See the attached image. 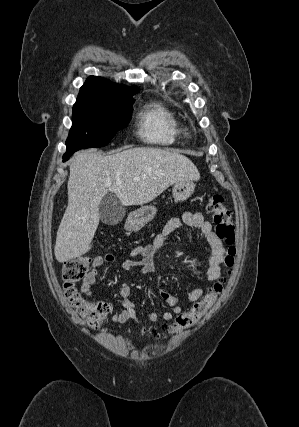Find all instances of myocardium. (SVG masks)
<instances>
[{"label":"myocardium","instance_id":"1","mask_svg":"<svg viewBox=\"0 0 299 427\" xmlns=\"http://www.w3.org/2000/svg\"><path fill=\"white\" fill-rule=\"evenodd\" d=\"M181 134L185 138H189L191 136V130L189 127L185 126L182 129H180Z\"/></svg>","mask_w":299,"mask_h":427}]
</instances>
